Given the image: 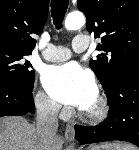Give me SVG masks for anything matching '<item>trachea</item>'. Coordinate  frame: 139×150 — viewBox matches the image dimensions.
Wrapping results in <instances>:
<instances>
[{"mask_svg":"<svg viewBox=\"0 0 139 150\" xmlns=\"http://www.w3.org/2000/svg\"><path fill=\"white\" fill-rule=\"evenodd\" d=\"M68 0H51V13L57 29L62 27V22L68 8Z\"/></svg>","mask_w":139,"mask_h":150,"instance_id":"obj_1","label":"trachea"}]
</instances>
